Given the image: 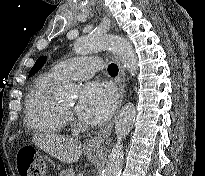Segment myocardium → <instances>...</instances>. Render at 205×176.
<instances>
[{"label":"myocardium","mask_w":205,"mask_h":176,"mask_svg":"<svg viewBox=\"0 0 205 176\" xmlns=\"http://www.w3.org/2000/svg\"><path fill=\"white\" fill-rule=\"evenodd\" d=\"M60 109L65 115H68L70 113V110L63 108L61 105H60Z\"/></svg>","instance_id":"f54148a6"}]
</instances>
